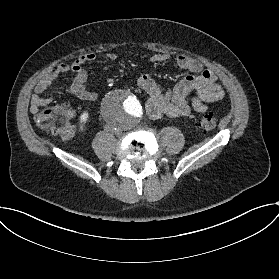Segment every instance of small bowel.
I'll return each mask as SVG.
<instances>
[{
	"instance_id": "obj_1",
	"label": "small bowel",
	"mask_w": 279,
	"mask_h": 279,
	"mask_svg": "<svg viewBox=\"0 0 279 279\" xmlns=\"http://www.w3.org/2000/svg\"><path fill=\"white\" fill-rule=\"evenodd\" d=\"M111 60L116 59L115 54H110ZM168 53H156L150 61L154 64L165 63L169 60ZM96 59L94 52L79 55L73 62L60 63L48 71L35 85L34 94L30 101V112L38 114L40 109L50 105L53 98L43 95L59 77L72 75L71 83L66 87V92L85 101H95L98 93L86 86L87 72L85 65ZM177 66L189 73L173 89L162 92L149 74H142L135 78L137 85L147 94L145 109L154 120L184 118L192 110L203 113L208 108V103L219 101L224 97V89L217 76L210 70L204 69L203 64L196 58L179 54L176 57ZM73 116V114H71Z\"/></svg>"
}]
</instances>
